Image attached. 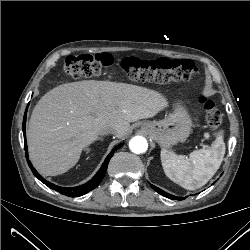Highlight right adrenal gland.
<instances>
[{
    "instance_id": "2a0ac1e0",
    "label": "right adrenal gland",
    "mask_w": 250,
    "mask_h": 250,
    "mask_svg": "<svg viewBox=\"0 0 250 250\" xmlns=\"http://www.w3.org/2000/svg\"><path fill=\"white\" fill-rule=\"evenodd\" d=\"M97 140H103V137H98ZM86 150H87V153L90 152V149H89V148H87Z\"/></svg>"
}]
</instances>
